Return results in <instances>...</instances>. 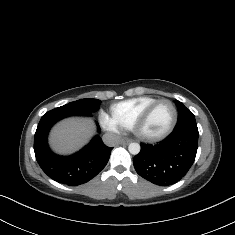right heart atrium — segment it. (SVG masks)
Instances as JSON below:
<instances>
[{
  "instance_id": "d8ad5b80",
  "label": "right heart atrium",
  "mask_w": 235,
  "mask_h": 235,
  "mask_svg": "<svg viewBox=\"0 0 235 235\" xmlns=\"http://www.w3.org/2000/svg\"><path fill=\"white\" fill-rule=\"evenodd\" d=\"M98 119L103 127L111 132L118 133L121 130L119 124L111 117H109L103 110L99 111Z\"/></svg>"
}]
</instances>
